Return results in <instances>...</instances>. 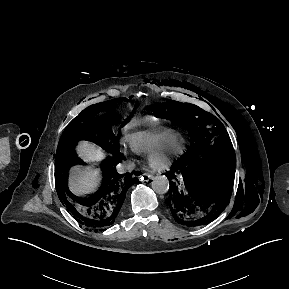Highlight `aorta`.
I'll list each match as a JSON object with an SVG mask.
<instances>
[{"label": "aorta", "instance_id": "762f6f07", "mask_svg": "<svg viewBox=\"0 0 289 289\" xmlns=\"http://www.w3.org/2000/svg\"><path fill=\"white\" fill-rule=\"evenodd\" d=\"M152 189L158 194H165L169 190V181L166 176H156L152 183Z\"/></svg>", "mask_w": 289, "mask_h": 289}]
</instances>
